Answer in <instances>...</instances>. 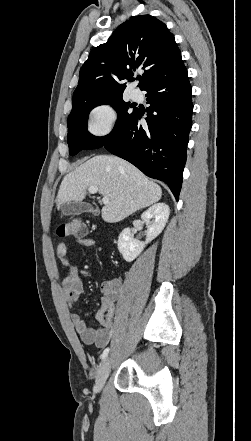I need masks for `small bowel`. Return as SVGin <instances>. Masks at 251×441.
I'll list each match as a JSON object with an SVG mask.
<instances>
[{"label":"small bowel","mask_w":251,"mask_h":441,"mask_svg":"<svg viewBox=\"0 0 251 441\" xmlns=\"http://www.w3.org/2000/svg\"><path fill=\"white\" fill-rule=\"evenodd\" d=\"M79 243L87 248L95 245V241L91 238L81 239ZM57 256L65 268L61 290L65 303L70 310L71 321L75 331L84 344L95 345L98 348L105 346L109 342L115 327L116 302L122 288V281L114 278L105 280L102 283L100 306L96 312L99 327H88L81 315L75 310L76 302L84 291L80 269L69 261L66 244L60 243L57 246Z\"/></svg>","instance_id":"small-bowel-1"}]
</instances>
